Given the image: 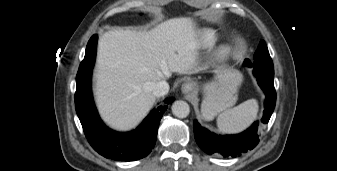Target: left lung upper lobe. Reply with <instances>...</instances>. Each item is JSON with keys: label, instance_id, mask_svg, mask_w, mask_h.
I'll return each instance as SVG.
<instances>
[{"label": "left lung upper lobe", "instance_id": "left-lung-upper-lobe-1", "mask_svg": "<svg viewBox=\"0 0 337 171\" xmlns=\"http://www.w3.org/2000/svg\"><path fill=\"white\" fill-rule=\"evenodd\" d=\"M245 64L250 67L254 66L257 68L274 71L273 62L269 55V52H268V49H267V46L264 40H261L258 46V49L254 54V62L251 63L249 59H246Z\"/></svg>", "mask_w": 337, "mask_h": 171}]
</instances>
